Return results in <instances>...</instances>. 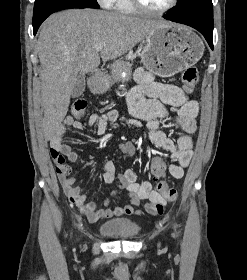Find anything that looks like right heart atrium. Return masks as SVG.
Wrapping results in <instances>:
<instances>
[{
    "mask_svg": "<svg viewBox=\"0 0 247 280\" xmlns=\"http://www.w3.org/2000/svg\"><path fill=\"white\" fill-rule=\"evenodd\" d=\"M115 0H97V2L103 7H111Z\"/></svg>",
    "mask_w": 247,
    "mask_h": 280,
    "instance_id": "obj_1",
    "label": "right heart atrium"
}]
</instances>
